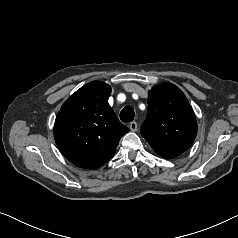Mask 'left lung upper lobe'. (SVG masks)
Returning a JSON list of instances; mask_svg holds the SVG:
<instances>
[{"mask_svg": "<svg viewBox=\"0 0 238 238\" xmlns=\"http://www.w3.org/2000/svg\"><path fill=\"white\" fill-rule=\"evenodd\" d=\"M141 135L165 159L175 158L194 142L195 114L183 92L171 83L155 86L148 93V112Z\"/></svg>", "mask_w": 238, "mask_h": 238, "instance_id": "left-lung-upper-lobe-1", "label": "left lung upper lobe"}]
</instances>
